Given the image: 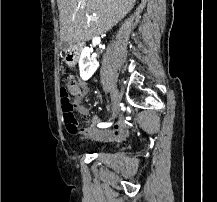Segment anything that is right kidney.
Masks as SVG:
<instances>
[{"label": "right kidney", "mask_w": 217, "mask_h": 202, "mask_svg": "<svg viewBox=\"0 0 217 202\" xmlns=\"http://www.w3.org/2000/svg\"><path fill=\"white\" fill-rule=\"evenodd\" d=\"M90 48H84L81 52L80 60H79V70H80V78L82 80H89L91 76H93L98 64L94 62L93 58L90 56Z\"/></svg>", "instance_id": "1"}]
</instances>
